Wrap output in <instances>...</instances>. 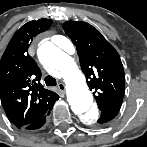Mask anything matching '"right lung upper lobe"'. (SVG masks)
<instances>
[{
  "mask_svg": "<svg viewBox=\"0 0 147 147\" xmlns=\"http://www.w3.org/2000/svg\"><path fill=\"white\" fill-rule=\"evenodd\" d=\"M51 19L42 18L24 24L10 40L0 62V97L11 123L23 128L45 116L59 99L40 83L41 71L28 47L33 38L46 31Z\"/></svg>",
  "mask_w": 147,
  "mask_h": 147,
  "instance_id": "right-lung-upper-lobe-1",
  "label": "right lung upper lobe"
}]
</instances>
